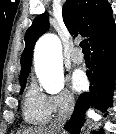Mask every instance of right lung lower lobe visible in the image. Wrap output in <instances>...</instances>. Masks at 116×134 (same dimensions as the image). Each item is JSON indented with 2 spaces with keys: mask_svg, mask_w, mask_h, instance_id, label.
I'll return each mask as SVG.
<instances>
[{
  "mask_svg": "<svg viewBox=\"0 0 116 134\" xmlns=\"http://www.w3.org/2000/svg\"><path fill=\"white\" fill-rule=\"evenodd\" d=\"M91 49L93 51L91 54L92 68L87 71L90 88L89 92L79 96L74 112L64 126L70 134L79 133L87 108L91 106L106 112L108 107L112 106L113 91L116 85V29L100 42L93 44Z\"/></svg>",
  "mask_w": 116,
  "mask_h": 134,
  "instance_id": "right-lung-lower-lobe-1",
  "label": "right lung lower lobe"
}]
</instances>
